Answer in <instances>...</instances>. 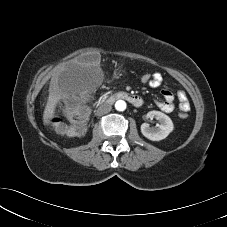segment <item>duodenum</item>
I'll return each instance as SVG.
<instances>
[{
	"instance_id": "1",
	"label": "duodenum",
	"mask_w": 227,
	"mask_h": 227,
	"mask_svg": "<svg viewBox=\"0 0 227 227\" xmlns=\"http://www.w3.org/2000/svg\"><path fill=\"white\" fill-rule=\"evenodd\" d=\"M118 99L126 100L135 107H140L143 105V99L140 96L124 91L114 93L105 100V103L112 104Z\"/></svg>"
}]
</instances>
